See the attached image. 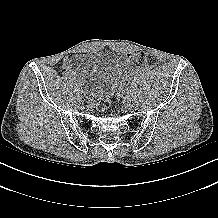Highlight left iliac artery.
<instances>
[{"mask_svg":"<svg viewBox=\"0 0 218 218\" xmlns=\"http://www.w3.org/2000/svg\"><path fill=\"white\" fill-rule=\"evenodd\" d=\"M128 98V100L130 101L132 98L130 97L131 95L128 93L127 95H126Z\"/></svg>","mask_w":218,"mask_h":218,"instance_id":"left-iliac-artery-1","label":"left iliac artery"}]
</instances>
